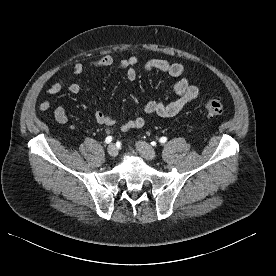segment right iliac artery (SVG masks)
<instances>
[{"label":"right iliac artery","mask_w":276,"mask_h":276,"mask_svg":"<svg viewBox=\"0 0 276 276\" xmlns=\"http://www.w3.org/2000/svg\"><path fill=\"white\" fill-rule=\"evenodd\" d=\"M112 141V136H108L105 139V143L109 144Z\"/></svg>","instance_id":"1"}]
</instances>
